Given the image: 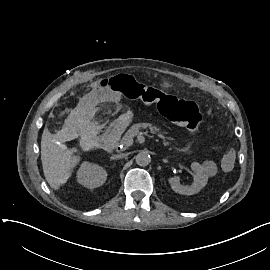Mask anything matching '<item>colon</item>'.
Segmentation results:
<instances>
[{"label":"colon","instance_id":"5ec220e1","mask_svg":"<svg viewBox=\"0 0 270 270\" xmlns=\"http://www.w3.org/2000/svg\"><path fill=\"white\" fill-rule=\"evenodd\" d=\"M110 86L128 99L140 100L145 105L155 104L157 110L178 126L189 131H196L202 122V116L192 100L178 98L163 91L141 84L132 76H117L110 81ZM226 146L219 158V170L224 175H231L236 170V158Z\"/></svg>","mask_w":270,"mask_h":270}]
</instances>
